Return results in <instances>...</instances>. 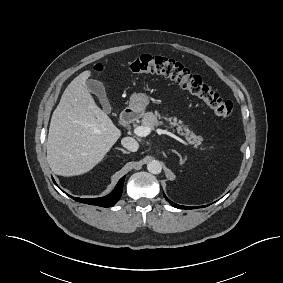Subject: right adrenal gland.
Here are the masks:
<instances>
[{
  "instance_id": "right-adrenal-gland-1",
  "label": "right adrenal gland",
  "mask_w": 283,
  "mask_h": 283,
  "mask_svg": "<svg viewBox=\"0 0 283 283\" xmlns=\"http://www.w3.org/2000/svg\"><path fill=\"white\" fill-rule=\"evenodd\" d=\"M117 150H120L123 154H129L130 152L126 151L123 148H116Z\"/></svg>"
}]
</instances>
